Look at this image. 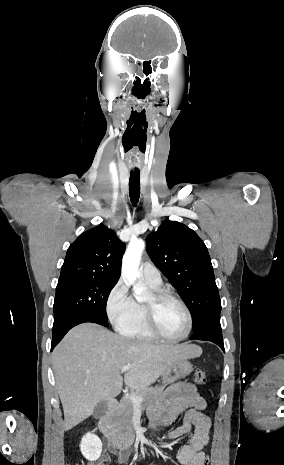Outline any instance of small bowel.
Listing matches in <instances>:
<instances>
[{"mask_svg":"<svg viewBox=\"0 0 284 465\" xmlns=\"http://www.w3.org/2000/svg\"><path fill=\"white\" fill-rule=\"evenodd\" d=\"M207 403L190 382H177L169 386L148 410L149 427L155 433L159 427L173 423L185 412L182 423L168 433L169 439H179L190 432L186 443L175 453L179 465H204L203 449L210 441L211 421L203 411ZM117 456L125 461L131 449H121ZM111 453L105 451L97 465H108Z\"/></svg>","mask_w":284,"mask_h":465,"instance_id":"c3829d8e","label":"small bowel"}]
</instances>
